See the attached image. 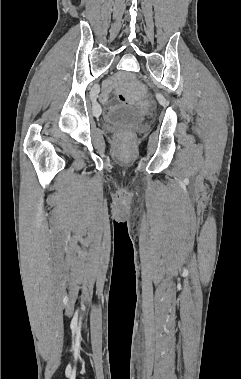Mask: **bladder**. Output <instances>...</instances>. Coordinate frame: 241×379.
<instances>
[{
    "label": "bladder",
    "mask_w": 241,
    "mask_h": 379,
    "mask_svg": "<svg viewBox=\"0 0 241 379\" xmlns=\"http://www.w3.org/2000/svg\"><path fill=\"white\" fill-rule=\"evenodd\" d=\"M145 119L144 114L134 108L117 107L107 112L105 120L114 125L133 126Z\"/></svg>",
    "instance_id": "31cf9c89"
}]
</instances>
